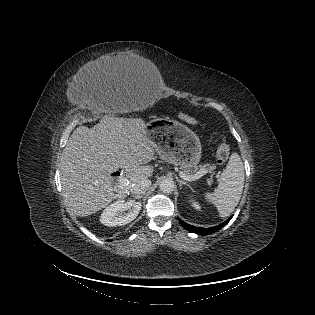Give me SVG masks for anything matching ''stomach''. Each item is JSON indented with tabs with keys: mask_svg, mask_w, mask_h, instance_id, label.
<instances>
[{
	"mask_svg": "<svg viewBox=\"0 0 315 315\" xmlns=\"http://www.w3.org/2000/svg\"><path fill=\"white\" fill-rule=\"evenodd\" d=\"M146 135L155 142L159 156L182 169L196 167L201 158L199 137L187 126L170 118H154L146 123Z\"/></svg>",
	"mask_w": 315,
	"mask_h": 315,
	"instance_id": "0dacf381",
	"label": "stomach"
}]
</instances>
